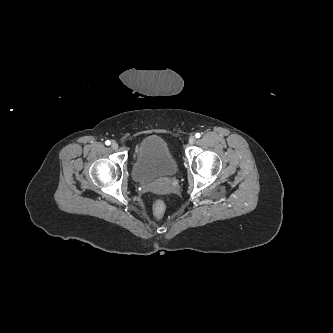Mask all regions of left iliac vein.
I'll return each mask as SVG.
<instances>
[{
    "instance_id": "1",
    "label": "left iliac vein",
    "mask_w": 333,
    "mask_h": 333,
    "mask_svg": "<svg viewBox=\"0 0 333 333\" xmlns=\"http://www.w3.org/2000/svg\"><path fill=\"white\" fill-rule=\"evenodd\" d=\"M196 141V137L195 136H190L189 138V144L193 145Z\"/></svg>"
}]
</instances>
